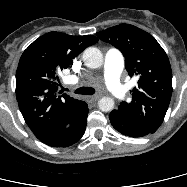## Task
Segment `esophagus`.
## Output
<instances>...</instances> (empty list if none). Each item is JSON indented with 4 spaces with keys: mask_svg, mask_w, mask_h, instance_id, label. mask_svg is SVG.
I'll use <instances>...</instances> for the list:
<instances>
[{
    "mask_svg": "<svg viewBox=\"0 0 187 187\" xmlns=\"http://www.w3.org/2000/svg\"><path fill=\"white\" fill-rule=\"evenodd\" d=\"M100 98V95L87 96L86 99L89 103L95 102Z\"/></svg>",
    "mask_w": 187,
    "mask_h": 187,
    "instance_id": "1",
    "label": "esophagus"
}]
</instances>
